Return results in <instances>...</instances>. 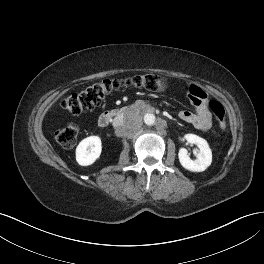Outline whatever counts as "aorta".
Instances as JSON below:
<instances>
[{"label": "aorta", "mask_w": 264, "mask_h": 264, "mask_svg": "<svg viewBox=\"0 0 264 264\" xmlns=\"http://www.w3.org/2000/svg\"><path fill=\"white\" fill-rule=\"evenodd\" d=\"M143 120L146 125L152 126L156 121V117L154 114L147 113L144 115Z\"/></svg>", "instance_id": "obj_1"}]
</instances>
